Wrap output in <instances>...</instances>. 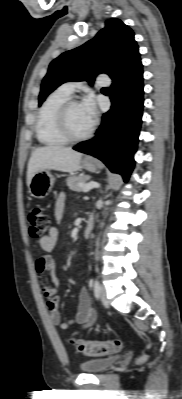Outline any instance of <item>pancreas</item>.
I'll list each match as a JSON object with an SVG mask.
<instances>
[{
  "label": "pancreas",
  "instance_id": "pancreas-1",
  "mask_svg": "<svg viewBox=\"0 0 182 399\" xmlns=\"http://www.w3.org/2000/svg\"><path fill=\"white\" fill-rule=\"evenodd\" d=\"M89 178L90 177L88 175H78V176L69 177L66 180L67 186L73 191H82L83 188L81 185H84Z\"/></svg>",
  "mask_w": 182,
  "mask_h": 399
}]
</instances>
